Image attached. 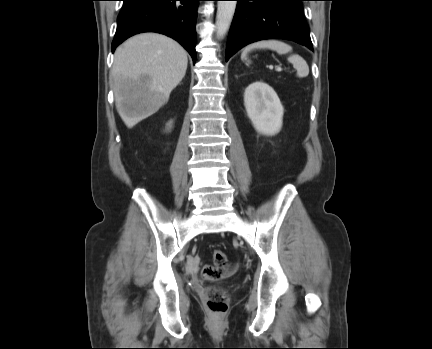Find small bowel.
I'll return each instance as SVG.
<instances>
[{
	"label": "small bowel",
	"mask_w": 432,
	"mask_h": 349,
	"mask_svg": "<svg viewBox=\"0 0 432 349\" xmlns=\"http://www.w3.org/2000/svg\"><path fill=\"white\" fill-rule=\"evenodd\" d=\"M235 272V268H224L219 269L212 266H204L202 269V274L206 279L216 280L231 276Z\"/></svg>",
	"instance_id": "c3829d8e"
}]
</instances>
